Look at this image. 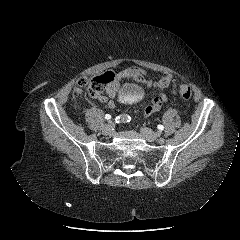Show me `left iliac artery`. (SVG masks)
<instances>
[{"label":"left iliac artery","instance_id":"obj_1","mask_svg":"<svg viewBox=\"0 0 240 240\" xmlns=\"http://www.w3.org/2000/svg\"><path fill=\"white\" fill-rule=\"evenodd\" d=\"M168 132H159L158 134H157V137L159 138V139H162L163 137H168Z\"/></svg>","mask_w":240,"mask_h":240}]
</instances>
